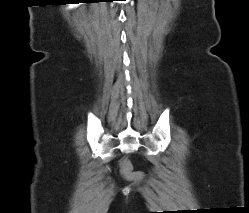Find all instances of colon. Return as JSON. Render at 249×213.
<instances>
[{
  "instance_id": "colon-1",
  "label": "colon",
  "mask_w": 249,
  "mask_h": 213,
  "mask_svg": "<svg viewBox=\"0 0 249 213\" xmlns=\"http://www.w3.org/2000/svg\"><path fill=\"white\" fill-rule=\"evenodd\" d=\"M121 173L125 177H131V176L136 174V173H134L132 171V167H131V164H130L128 159H123L122 160V162H121Z\"/></svg>"
}]
</instances>
